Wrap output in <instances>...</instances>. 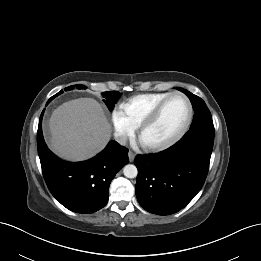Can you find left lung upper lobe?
I'll return each instance as SVG.
<instances>
[{
	"label": "left lung upper lobe",
	"instance_id": "left-lung-upper-lobe-1",
	"mask_svg": "<svg viewBox=\"0 0 261 261\" xmlns=\"http://www.w3.org/2000/svg\"><path fill=\"white\" fill-rule=\"evenodd\" d=\"M176 89L180 90L181 92L185 93L188 96V98L192 103L193 109L195 111L190 130L205 129L209 131H215L211 113L208 107L206 106L205 102L200 97L192 94L191 92L183 88H176Z\"/></svg>",
	"mask_w": 261,
	"mask_h": 261
}]
</instances>
